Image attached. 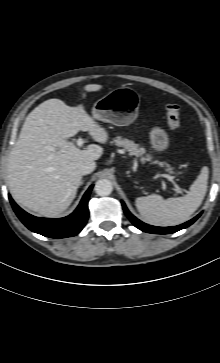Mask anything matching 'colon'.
<instances>
[{
	"instance_id": "colon-1",
	"label": "colon",
	"mask_w": 220,
	"mask_h": 363,
	"mask_svg": "<svg viewBox=\"0 0 220 363\" xmlns=\"http://www.w3.org/2000/svg\"><path fill=\"white\" fill-rule=\"evenodd\" d=\"M167 122L171 130H177L180 125V109L176 104H169L166 107Z\"/></svg>"
}]
</instances>
